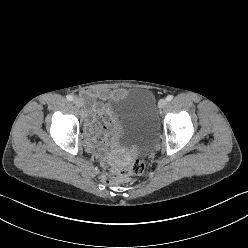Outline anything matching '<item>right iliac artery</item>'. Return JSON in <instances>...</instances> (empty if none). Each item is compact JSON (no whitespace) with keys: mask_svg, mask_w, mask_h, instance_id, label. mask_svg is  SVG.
Here are the masks:
<instances>
[{"mask_svg":"<svg viewBox=\"0 0 248 248\" xmlns=\"http://www.w3.org/2000/svg\"><path fill=\"white\" fill-rule=\"evenodd\" d=\"M67 100H68V101H72V100H73V97H72L71 95H68V96H67Z\"/></svg>","mask_w":248,"mask_h":248,"instance_id":"1","label":"right iliac artery"}]
</instances>
